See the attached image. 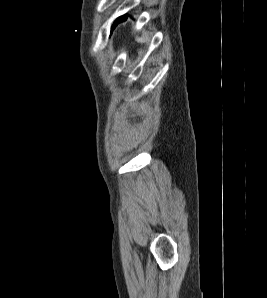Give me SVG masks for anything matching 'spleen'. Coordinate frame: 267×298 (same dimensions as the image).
<instances>
[{"label":"spleen","instance_id":"1","mask_svg":"<svg viewBox=\"0 0 267 298\" xmlns=\"http://www.w3.org/2000/svg\"><path fill=\"white\" fill-rule=\"evenodd\" d=\"M147 40H148V37H147L146 33L142 37H137L136 38V41L139 42V43L145 42Z\"/></svg>","mask_w":267,"mask_h":298}]
</instances>
